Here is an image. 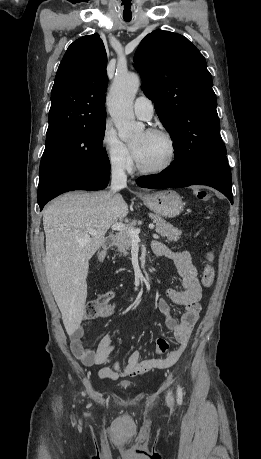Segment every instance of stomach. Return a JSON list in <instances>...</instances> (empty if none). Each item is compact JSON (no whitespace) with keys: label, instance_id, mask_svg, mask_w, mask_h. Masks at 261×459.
<instances>
[{"label":"stomach","instance_id":"stomach-1","mask_svg":"<svg viewBox=\"0 0 261 459\" xmlns=\"http://www.w3.org/2000/svg\"><path fill=\"white\" fill-rule=\"evenodd\" d=\"M145 205L156 215L166 218L178 216L183 211L180 195L174 190H161L143 196Z\"/></svg>","mask_w":261,"mask_h":459}]
</instances>
